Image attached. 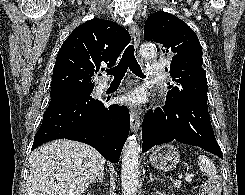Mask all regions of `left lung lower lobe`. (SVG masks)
<instances>
[{"mask_svg": "<svg viewBox=\"0 0 245 195\" xmlns=\"http://www.w3.org/2000/svg\"><path fill=\"white\" fill-rule=\"evenodd\" d=\"M142 139V152L177 140L223 158L211 126L208 106L195 100L166 101L163 108L149 111L142 123Z\"/></svg>", "mask_w": 245, "mask_h": 195, "instance_id": "0a47b994", "label": "left lung lower lobe"}]
</instances>
